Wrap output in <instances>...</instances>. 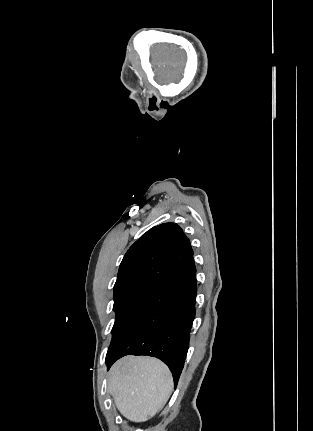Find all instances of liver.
I'll return each mask as SVG.
<instances>
[{
  "instance_id": "1",
  "label": "liver",
  "mask_w": 313,
  "mask_h": 431,
  "mask_svg": "<svg viewBox=\"0 0 313 431\" xmlns=\"http://www.w3.org/2000/svg\"><path fill=\"white\" fill-rule=\"evenodd\" d=\"M173 387L168 367L156 358L126 356L110 369L108 389L127 419L145 422L169 399Z\"/></svg>"
}]
</instances>
